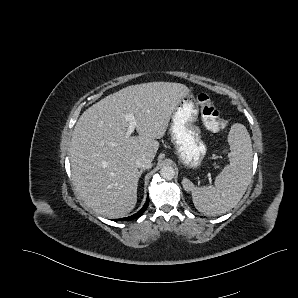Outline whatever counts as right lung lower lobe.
<instances>
[{
    "instance_id": "98d812e1",
    "label": "right lung lower lobe",
    "mask_w": 298,
    "mask_h": 298,
    "mask_svg": "<svg viewBox=\"0 0 298 298\" xmlns=\"http://www.w3.org/2000/svg\"><path fill=\"white\" fill-rule=\"evenodd\" d=\"M148 203H149V198L147 197L146 203L144 204V206L142 207V209L139 212H137L136 214H134L132 216L126 217V218L117 219V221L132 220V219H136V218L140 217L144 213V211L147 209Z\"/></svg>"
}]
</instances>
